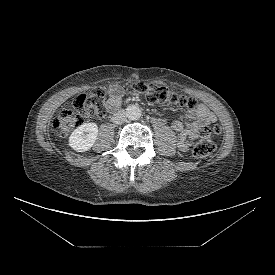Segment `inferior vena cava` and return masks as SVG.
I'll return each mask as SVG.
<instances>
[{
	"label": "inferior vena cava",
	"instance_id": "1",
	"mask_svg": "<svg viewBox=\"0 0 275 275\" xmlns=\"http://www.w3.org/2000/svg\"><path fill=\"white\" fill-rule=\"evenodd\" d=\"M126 112L125 111H118L112 117V122L116 124H121L126 120Z\"/></svg>",
	"mask_w": 275,
	"mask_h": 275
}]
</instances>
